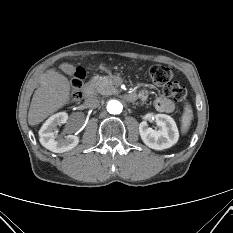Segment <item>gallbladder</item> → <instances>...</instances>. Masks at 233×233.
<instances>
[{
	"label": "gallbladder",
	"instance_id": "bac80fb5",
	"mask_svg": "<svg viewBox=\"0 0 233 233\" xmlns=\"http://www.w3.org/2000/svg\"><path fill=\"white\" fill-rule=\"evenodd\" d=\"M59 68L68 75H73L76 72V67L72 64L63 63L59 66Z\"/></svg>",
	"mask_w": 233,
	"mask_h": 233
}]
</instances>
